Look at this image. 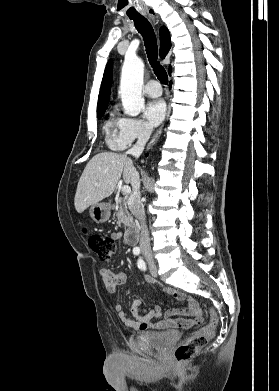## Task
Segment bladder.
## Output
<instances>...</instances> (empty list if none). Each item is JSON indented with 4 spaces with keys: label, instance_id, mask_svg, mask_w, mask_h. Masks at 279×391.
<instances>
[{
    "label": "bladder",
    "instance_id": "bladder-1",
    "mask_svg": "<svg viewBox=\"0 0 279 391\" xmlns=\"http://www.w3.org/2000/svg\"><path fill=\"white\" fill-rule=\"evenodd\" d=\"M180 333L176 330L164 331H142L139 336L144 339L151 346L158 349H165L170 344L175 342Z\"/></svg>",
    "mask_w": 279,
    "mask_h": 391
}]
</instances>
